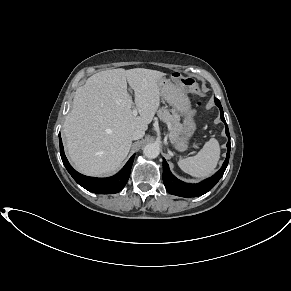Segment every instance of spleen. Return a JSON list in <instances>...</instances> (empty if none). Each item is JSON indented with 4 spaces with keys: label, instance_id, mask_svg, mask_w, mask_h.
<instances>
[{
    "label": "spleen",
    "instance_id": "spleen-1",
    "mask_svg": "<svg viewBox=\"0 0 291 291\" xmlns=\"http://www.w3.org/2000/svg\"><path fill=\"white\" fill-rule=\"evenodd\" d=\"M219 158V143L212 138L204 144L203 148L195 156L180 159L178 166L191 176L204 178L214 172Z\"/></svg>",
    "mask_w": 291,
    "mask_h": 291
}]
</instances>
